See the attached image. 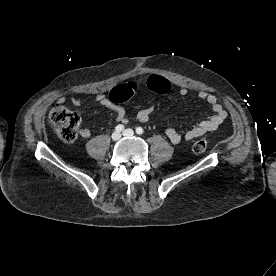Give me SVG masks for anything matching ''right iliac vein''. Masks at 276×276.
Returning a JSON list of instances; mask_svg holds the SVG:
<instances>
[{"instance_id":"63e3f726","label":"right iliac vein","mask_w":276,"mask_h":276,"mask_svg":"<svg viewBox=\"0 0 276 276\" xmlns=\"http://www.w3.org/2000/svg\"><path fill=\"white\" fill-rule=\"evenodd\" d=\"M112 140L113 141H118L120 138H121V134L119 133V132H114L113 134H112Z\"/></svg>"}]
</instances>
